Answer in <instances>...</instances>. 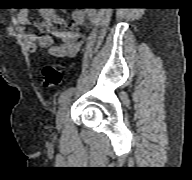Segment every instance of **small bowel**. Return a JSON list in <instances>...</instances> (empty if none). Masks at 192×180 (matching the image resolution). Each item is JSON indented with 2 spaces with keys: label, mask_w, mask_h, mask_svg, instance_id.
<instances>
[{
  "label": "small bowel",
  "mask_w": 192,
  "mask_h": 180,
  "mask_svg": "<svg viewBox=\"0 0 192 180\" xmlns=\"http://www.w3.org/2000/svg\"><path fill=\"white\" fill-rule=\"evenodd\" d=\"M43 20L36 24L40 34L26 31L22 28L23 38L27 50L31 53L38 50H46L52 57H75L84 44V37L80 33L78 26H86L87 23L94 21L96 11L94 9L82 10L76 9L72 12V27L65 30L60 26L64 25V20L50 8L41 10ZM17 20L23 27L29 24V12L22 9ZM54 38L58 40L54 42Z\"/></svg>",
  "instance_id": "1"
}]
</instances>
